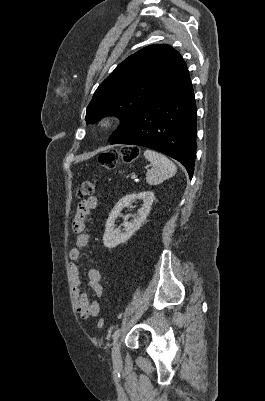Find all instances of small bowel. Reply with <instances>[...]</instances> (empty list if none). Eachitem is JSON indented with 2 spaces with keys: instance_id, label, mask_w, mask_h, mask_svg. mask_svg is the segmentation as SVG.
Here are the masks:
<instances>
[{
  "instance_id": "obj_1",
  "label": "small bowel",
  "mask_w": 265,
  "mask_h": 401,
  "mask_svg": "<svg viewBox=\"0 0 265 401\" xmlns=\"http://www.w3.org/2000/svg\"><path fill=\"white\" fill-rule=\"evenodd\" d=\"M98 205L95 196H91L77 205L76 215L72 222V230L77 234L74 246L69 251V257L72 261L70 265L71 290L76 311L82 318L97 316L100 306L95 301H90L86 294L81 291L80 271L75 262L79 259L81 249L86 247L90 241V234L85 231V222L89 213ZM102 275L97 269L88 271V285L97 297H102L104 287L101 283Z\"/></svg>"
}]
</instances>
